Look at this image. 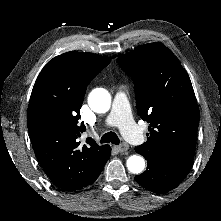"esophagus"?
<instances>
[{
    "instance_id": "obj_1",
    "label": "esophagus",
    "mask_w": 221,
    "mask_h": 221,
    "mask_svg": "<svg viewBox=\"0 0 221 221\" xmlns=\"http://www.w3.org/2000/svg\"><path fill=\"white\" fill-rule=\"evenodd\" d=\"M128 148L129 146L127 143H122L121 145L115 146V149L120 153L126 152Z\"/></svg>"
}]
</instances>
